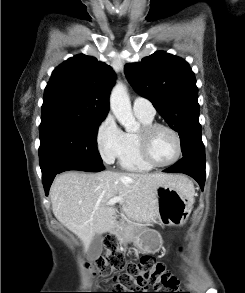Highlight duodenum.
Returning a JSON list of instances; mask_svg holds the SVG:
<instances>
[{"mask_svg":"<svg viewBox=\"0 0 245 293\" xmlns=\"http://www.w3.org/2000/svg\"><path fill=\"white\" fill-rule=\"evenodd\" d=\"M108 234L109 235H115V226L114 225H110L109 227H108Z\"/></svg>","mask_w":245,"mask_h":293,"instance_id":"obj_1","label":"duodenum"}]
</instances>
